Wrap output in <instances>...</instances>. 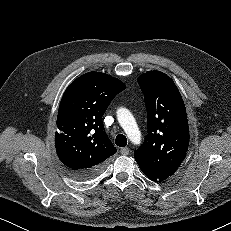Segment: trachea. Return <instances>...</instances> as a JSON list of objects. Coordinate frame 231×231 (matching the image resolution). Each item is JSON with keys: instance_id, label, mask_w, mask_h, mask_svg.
Here are the masks:
<instances>
[{"instance_id": "trachea-1", "label": "trachea", "mask_w": 231, "mask_h": 231, "mask_svg": "<svg viewBox=\"0 0 231 231\" xmlns=\"http://www.w3.org/2000/svg\"><path fill=\"white\" fill-rule=\"evenodd\" d=\"M115 143L119 147H125L127 145V138H126V136L123 135V134L117 135V137L115 139Z\"/></svg>"}]
</instances>
